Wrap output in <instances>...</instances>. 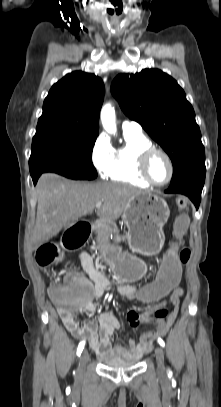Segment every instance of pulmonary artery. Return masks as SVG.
Returning a JSON list of instances; mask_svg holds the SVG:
<instances>
[{"label": "pulmonary artery", "mask_w": 221, "mask_h": 407, "mask_svg": "<svg viewBox=\"0 0 221 407\" xmlns=\"http://www.w3.org/2000/svg\"><path fill=\"white\" fill-rule=\"evenodd\" d=\"M123 132H142L141 126L135 121H124L122 123Z\"/></svg>", "instance_id": "obj_1"}]
</instances>
